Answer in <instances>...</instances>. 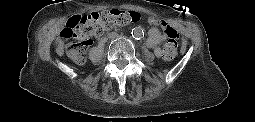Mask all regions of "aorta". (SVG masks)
I'll list each match as a JSON object with an SVG mask.
<instances>
[{"label": "aorta", "instance_id": "obj_1", "mask_svg": "<svg viewBox=\"0 0 255 122\" xmlns=\"http://www.w3.org/2000/svg\"><path fill=\"white\" fill-rule=\"evenodd\" d=\"M131 35L135 39H140L143 36V29L139 26L134 27L131 31Z\"/></svg>", "mask_w": 255, "mask_h": 122}]
</instances>
